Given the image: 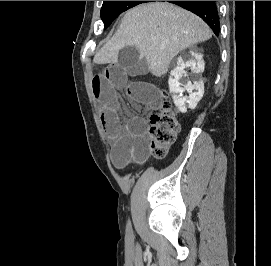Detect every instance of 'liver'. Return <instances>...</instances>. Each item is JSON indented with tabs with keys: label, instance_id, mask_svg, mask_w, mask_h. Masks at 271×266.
<instances>
[{
	"label": "liver",
	"instance_id": "1",
	"mask_svg": "<svg viewBox=\"0 0 271 266\" xmlns=\"http://www.w3.org/2000/svg\"><path fill=\"white\" fill-rule=\"evenodd\" d=\"M211 36L209 26L187 10L170 3L142 4L126 12L117 32L93 61L117 63L120 50L134 46L149 62L151 73L161 77L179 52Z\"/></svg>",
	"mask_w": 271,
	"mask_h": 266
}]
</instances>
